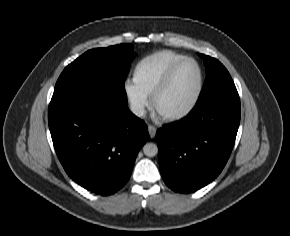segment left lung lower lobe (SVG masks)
<instances>
[{
	"instance_id": "0a47b994",
	"label": "left lung lower lobe",
	"mask_w": 290,
	"mask_h": 236,
	"mask_svg": "<svg viewBox=\"0 0 290 236\" xmlns=\"http://www.w3.org/2000/svg\"><path fill=\"white\" fill-rule=\"evenodd\" d=\"M239 123L240 99L235 88L159 129V166L166 185L191 193L213 181L231 154Z\"/></svg>"
}]
</instances>
